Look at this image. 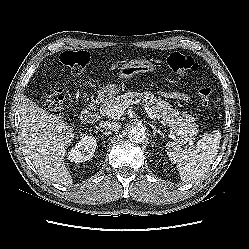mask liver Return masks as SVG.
Segmentation results:
<instances>
[{"instance_id": "6515ba94", "label": "liver", "mask_w": 249, "mask_h": 249, "mask_svg": "<svg viewBox=\"0 0 249 249\" xmlns=\"http://www.w3.org/2000/svg\"><path fill=\"white\" fill-rule=\"evenodd\" d=\"M19 114L21 143L39 174L55 183L72 184L64 162L66 149L74 138L72 128L26 96L21 99Z\"/></svg>"}]
</instances>
